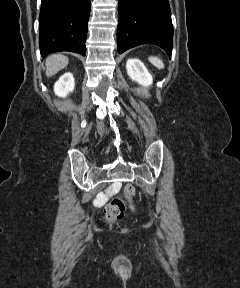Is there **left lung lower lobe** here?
<instances>
[{"label": "left lung lower lobe", "mask_w": 240, "mask_h": 288, "mask_svg": "<svg viewBox=\"0 0 240 288\" xmlns=\"http://www.w3.org/2000/svg\"><path fill=\"white\" fill-rule=\"evenodd\" d=\"M117 50L141 44H155L169 57L172 53L173 26L168 0H118Z\"/></svg>", "instance_id": "left-lung-lower-lobe-1"}]
</instances>
